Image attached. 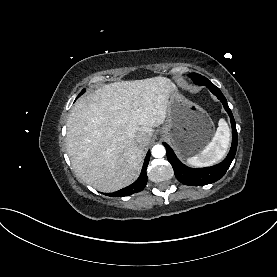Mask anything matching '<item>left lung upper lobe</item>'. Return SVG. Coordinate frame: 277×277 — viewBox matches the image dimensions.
<instances>
[{
	"mask_svg": "<svg viewBox=\"0 0 277 277\" xmlns=\"http://www.w3.org/2000/svg\"><path fill=\"white\" fill-rule=\"evenodd\" d=\"M189 77L194 81L195 84L197 85H200L201 82H205L207 81L208 79L203 77L202 75L200 74H197V73H191L189 74Z\"/></svg>",
	"mask_w": 277,
	"mask_h": 277,
	"instance_id": "left-lung-upper-lobe-1",
	"label": "left lung upper lobe"
}]
</instances>
